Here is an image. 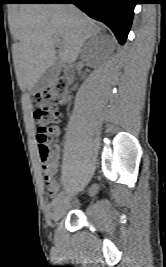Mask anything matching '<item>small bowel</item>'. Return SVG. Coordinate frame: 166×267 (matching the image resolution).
I'll return each instance as SVG.
<instances>
[{
  "instance_id": "small-bowel-1",
  "label": "small bowel",
  "mask_w": 166,
  "mask_h": 267,
  "mask_svg": "<svg viewBox=\"0 0 166 267\" xmlns=\"http://www.w3.org/2000/svg\"><path fill=\"white\" fill-rule=\"evenodd\" d=\"M58 164H59V153H58V150H55V156H54L55 170H54V173L58 167ZM54 173L51 176H49V177L45 176V178H44L45 184H46L48 191H49V194L51 196L56 195L57 190H58V185H57V182L54 178ZM95 191H96V187H92L91 192H95Z\"/></svg>"
}]
</instances>
